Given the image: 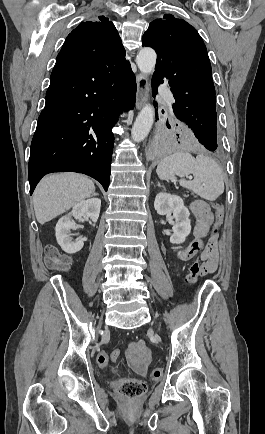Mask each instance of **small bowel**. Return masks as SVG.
Here are the masks:
<instances>
[{"label": "small bowel", "instance_id": "obj_1", "mask_svg": "<svg viewBox=\"0 0 265 434\" xmlns=\"http://www.w3.org/2000/svg\"><path fill=\"white\" fill-rule=\"evenodd\" d=\"M190 210L195 217L194 240L186 247H177L176 257L180 260H190L198 256L200 260L210 267L205 266L202 269L200 276L204 277L209 273H213L218 264L217 236L210 237L207 242H204V238L211 230L213 215L210 205L204 200L193 201ZM127 357L135 372L142 376L147 375L146 364L152 358V353L143 340L139 339L129 343Z\"/></svg>", "mask_w": 265, "mask_h": 434}]
</instances>
